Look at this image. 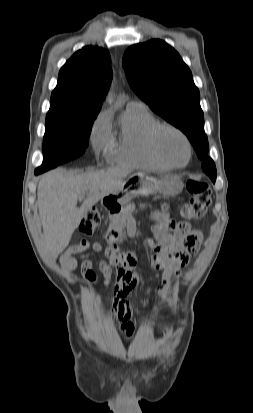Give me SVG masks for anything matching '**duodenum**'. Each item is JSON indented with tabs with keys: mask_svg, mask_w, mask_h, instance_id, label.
<instances>
[{
	"mask_svg": "<svg viewBox=\"0 0 253 413\" xmlns=\"http://www.w3.org/2000/svg\"><path fill=\"white\" fill-rule=\"evenodd\" d=\"M103 204L110 211H112V212L115 211V204H113L112 202H110L108 200H104ZM106 238H107L109 244L115 247V245L117 243V240H118L117 232H115L114 230H108L107 233H106Z\"/></svg>",
	"mask_w": 253,
	"mask_h": 413,
	"instance_id": "obj_1",
	"label": "duodenum"
}]
</instances>
